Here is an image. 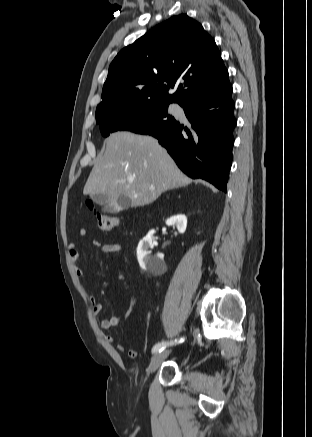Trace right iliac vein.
Returning <instances> with one entry per match:
<instances>
[{
  "label": "right iliac vein",
  "instance_id": "right-iliac-vein-1",
  "mask_svg": "<svg viewBox=\"0 0 312 437\" xmlns=\"http://www.w3.org/2000/svg\"><path fill=\"white\" fill-rule=\"evenodd\" d=\"M170 350L165 349L160 352H157L153 358L151 359L150 365H149V371L151 373L155 372L160 364L166 359V357L169 355Z\"/></svg>",
  "mask_w": 312,
  "mask_h": 437
}]
</instances>
